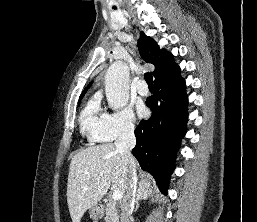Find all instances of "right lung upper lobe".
<instances>
[{"label": "right lung upper lobe", "mask_w": 257, "mask_h": 222, "mask_svg": "<svg viewBox=\"0 0 257 222\" xmlns=\"http://www.w3.org/2000/svg\"><path fill=\"white\" fill-rule=\"evenodd\" d=\"M138 49L144 61L155 66V70L152 72L155 79L180 70L173 61V55L164 49L160 50L157 43L143 32H141L138 40ZM89 87L90 85L87 88ZM86 91L87 89L82 92L80 99Z\"/></svg>", "instance_id": "1"}]
</instances>
